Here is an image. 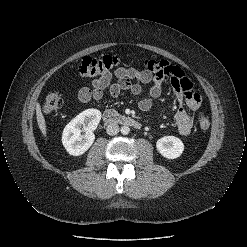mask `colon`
<instances>
[{
    "mask_svg": "<svg viewBox=\"0 0 247 247\" xmlns=\"http://www.w3.org/2000/svg\"><path fill=\"white\" fill-rule=\"evenodd\" d=\"M122 64L118 56L105 55L98 58L86 57L78 67L80 75L86 78L96 79L103 75L110 74L115 68ZM63 106V98L56 91H50L45 96L42 110L45 115L59 111ZM200 129L206 130L210 126V120L206 113L201 112L196 118Z\"/></svg>",
    "mask_w": 247,
    "mask_h": 247,
    "instance_id": "1",
    "label": "colon"
}]
</instances>
